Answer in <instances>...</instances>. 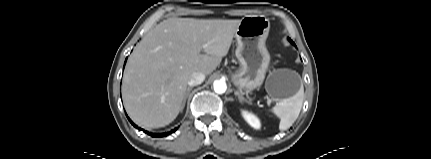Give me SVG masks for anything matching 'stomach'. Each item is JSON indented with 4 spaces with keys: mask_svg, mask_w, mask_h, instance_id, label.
I'll return each instance as SVG.
<instances>
[{
    "mask_svg": "<svg viewBox=\"0 0 431 159\" xmlns=\"http://www.w3.org/2000/svg\"><path fill=\"white\" fill-rule=\"evenodd\" d=\"M269 30L270 22L264 15H247L241 19L235 32V55L240 67L232 74L233 84L240 91H251L264 82L270 63L265 45ZM301 86L298 73L287 69L270 72L265 83L269 96L279 101L296 95Z\"/></svg>",
    "mask_w": 431,
    "mask_h": 159,
    "instance_id": "obj_1",
    "label": "stomach"
}]
</instances>
